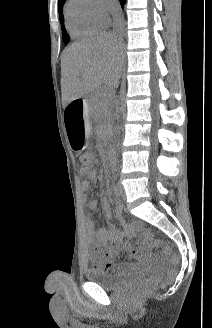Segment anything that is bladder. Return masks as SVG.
Wrapping results in <instances>:
<instances>
[{"label": "bladder", "mask_w": 212, "mask_h": 328, "mask_svg": "<svg viewBox=\"0 0 212 328\" xmlns=\"http://www.w3.org/2000/svg\"><path fill=\"white\" fill-rule=\"evenodd\" d=\"M138 277L134 274H118L107 273L97 269H89L86 271V278L94 283L99 284L106 290L118 291L127 286Z\"/></svg>", "instance_id": "bladder-1"}]
</instances>
